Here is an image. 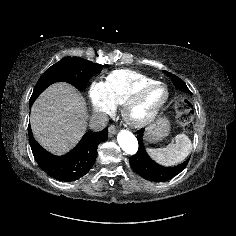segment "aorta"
Segmentation results:
<instances>
[{
  "instance_id": "762f6f07",
  "label": "aorta",
  "mask_w": 236,
  "mask_h": 236,
  "mask_svg": "<svg viewBox=\"0 0 236 236\" xmlns=\"http://www.w3.org/2000/svg\"><path fill=\"white\" fill-rule=\"evenodd\" d=\"M117 141L121 149L127 154H135L138 150V141L130 131L121 130L117 135Z\"/></svg>"
}]
</instances>
